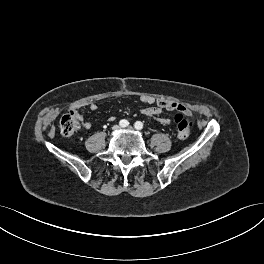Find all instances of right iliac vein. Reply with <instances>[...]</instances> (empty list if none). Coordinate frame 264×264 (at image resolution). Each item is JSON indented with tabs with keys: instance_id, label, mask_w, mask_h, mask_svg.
Instances as JSON below:
<instances>
[{
	"instance_id": "63e3f726",
	"label": "right iliac vein",
	"mask_w": 264,
	"mask_h": 264,
	"mask_svg": "<svg viewBox=\"0 0 264 264\" xmlns=\"http://www.w3.org/2000/svg\"><path fill=\"white\" fill-rule=\"evenodd\" d=\"M112 129H113L114 131H117V130L120 129V126H119V125H114V126L112 127Z\"/></svg>"
}]
</instances>
